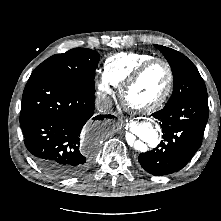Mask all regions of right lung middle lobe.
I'll use <instances>...</instances> for the list:
<instances>
[{
    "instance_id": "1",
    "label": "right lung middle lobe",
    "mask_w": 221,
    "mask_h": 221,
    "mask_svg": "<svg viewBox=\"0 0 221 221\" xmlns=\"http://www.w3.org/2000/svg\"><path fill=\"white\" fill-rule=\"evenodd\" d=\"M99 62L95 50L74 48L63 54H56L42 62L29 79L47 75L74 88L95 93L94 76Z\"/></svg>"
}]
</instances>
